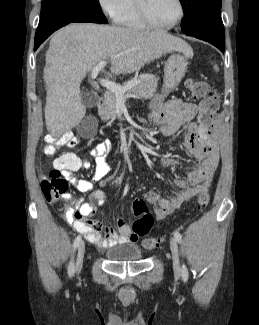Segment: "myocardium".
Instances as JSON below:
<instances>
[{"instance_id":"f54148a6","label":"myocardium","mask_w":259,"mask_h":325,"mask_svg":"<svg viewBox=\"0 0 259 325\" xmlns=\"http://www.w3.org/2000/svg\"><path fill=\"white\" fill-rule=\"evenodd\" d=\"M136 1H137L138 13H139L141 20L143 21L145 26L152 28V29L171 30V29L175 28L182 21V19L184 18V15H185V7H184L183 1L176 0L178 9H179L177 18L169 25H159V24L154 23L151 20V18L149 17L147 9H146V5H145V0H136Z\"/></svg>"}]
</instances>
